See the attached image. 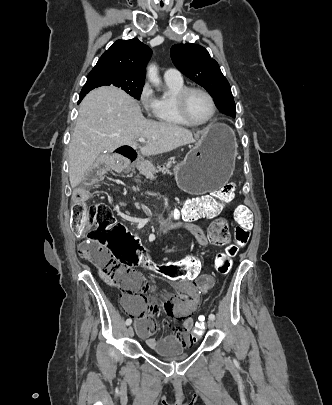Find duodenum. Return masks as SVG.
<instances>
[{"mask_svg": "<svg viewBox=\"0 0 332 405\" xmlns=\"http://www.w3.org/2000/svg\"><path fill=\"white\" fill-rule=\"evenodd\" d=\"M128 163L135 162L137 154L134 151L128 150L120 153ZM207 216H211L207 214ZM193 219V216L189 212H185L182 216L175 219H167L161 223V228L164 232H169L175 229L185 228L187 222H190Z\"/></svg>", "mask_w": 332, "mask_h": 405, "instance_id": "duodenum-1", "label": "duodenum"}]
</instances>
